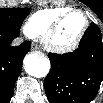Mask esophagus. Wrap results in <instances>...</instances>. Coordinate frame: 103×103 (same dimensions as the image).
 Masks as SVG:
<instances>
[{"label": "esophagus", "instance_id": "34e87169", "mask_svg": "<svg viewBox=\"0 0 103 103\" xmlns=\"http://www.w3.org/2000/svg\"><path fill=\"white\" fill-rule=\"evenodd\" d=\"M32 50L36 51L38 49L37 45L36 44H32Z\"/></svg>", "mask_w": 103, "mask_h": 103}]
</instances>
